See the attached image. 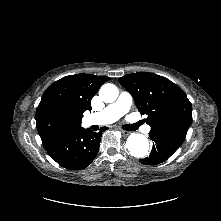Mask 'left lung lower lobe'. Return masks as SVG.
Here are the masks:
<instances>
[{"mask_svg":"<svg viewBox=\"0 0 221 221\" xmlns=\"http://www.w3.org/2000/svg\"><path fill=\"white\" fill-rule=\"evenodd\" d=\"M149 136L153 141V147L148 157L140 159L144 165H157L166 161L183 142L157 131H150Z\"/></svg>","mask_w":221,"mask_h":221,"instance_id":"obj_1","label":"left lung lower lobe"}]
</instances>
